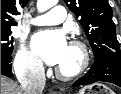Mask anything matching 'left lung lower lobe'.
Masks as SVG:
<instances>
[{"label": "left lung lower lobe", "mask_w": 121, "mask_h": 94, "mask_svg": "<svg viewBox=\"0 0 121 94\" xmlns=\"http://www.w3.org/2000/svg\"><path fill=\"white\" fill-rule=\"evenodd\" d=\"M98 81L110 82L121 87V57H106L96 60L87 74L72 86L78 87Z\"/></svg>", "instance_id": "left-lung-lower-lobe-1"}]
</instances>
